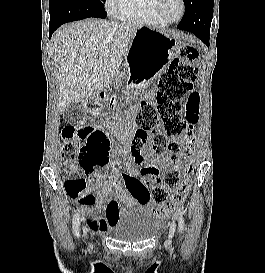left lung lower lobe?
<instances>
[{"instance_id": "1", "label": "left lung lower lobe", "mask_w": 265, "mask_h": 273, "mask_svg": "<svg viewBox=\"0 0 265 273\" xmlns=\"http://www.w3.org/2000/svg\"><path fill=\"white\" fill-rule=\"evenodd\" d=\"M214 0H192L179 25L180 30L190 31L209 46L210 27L206 26L205 14L213 7Z\"/></svg>"}]
</instances>
